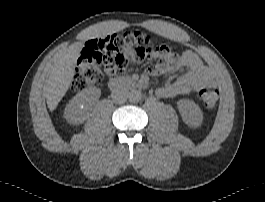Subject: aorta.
I'll use <instances>...</instances> for the list:
<instances>
[{"label":"aorta","instance_id":"1","mask_svg":"<svg viewBox=\"0 0 265 202\" xmlns=\"http://www.w3.org/2000/svg\"><path fill=\"white\" fill-rule=\"evenodd\" d=\"M141 97H142V94L139 90H131L129 92V96H128V99L130 102L132 103H136V102H139L141 100Z\"/></svg>","mask_w":265,"mask_h":202}]
</instances>
